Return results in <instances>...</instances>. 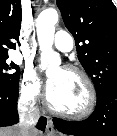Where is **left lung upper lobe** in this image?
<instances>
[{"label": "left lung upper lobe", "mask_w": 117, "mask_h": 136, "mask_svg": "<svg viewBox=\"0 0 117 136\" xmlns=\"http://www.w3.org/2000/svg\"><path fill=\"white\" fill-rule=\"evenodd\" d=\"M97 95L117 82V12L111 0H57Z\"/></svg>", "instance_id": "1"}]
</instances>
